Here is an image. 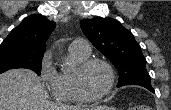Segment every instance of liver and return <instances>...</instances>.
<instances>
[{"mask_svg": "<svg viewBox=\"0 0 171 110\" xmlns=\"http://www.w3.org/2000/svg\"><path fill=\"white\" fill-rule=\"evenodd\" d=\"M0 110H89L54 104L47 100L44 84L29 69H13L0 75Z\"/></svg>", "mask_w": 171, "mask_h": 110, "instance_id": "1", "label": "liver"}]
</instances>
